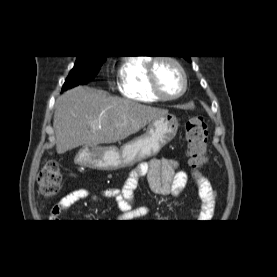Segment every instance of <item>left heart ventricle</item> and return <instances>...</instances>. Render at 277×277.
Segmentation results:
<instances>
[{
  "label": "left heart ventricle",
  "instance_id": "1",
  "mask_svg": "<svg viewBox=\"0 0 277 277\" xmlns=\"http://www.w3.org/2000/svg\"><path fill=\"white\" fill-rule=\"evenodd\" d=\"M156 76L162 92L172 96L179 93L183 81L178 69L167 61H159L156 65Z\"/></svg>",
  "mask_w": 277,
  "mask_h": 277
}]
</instances>
